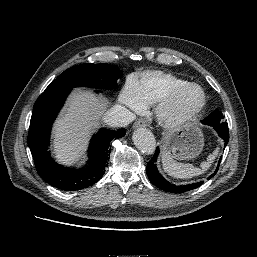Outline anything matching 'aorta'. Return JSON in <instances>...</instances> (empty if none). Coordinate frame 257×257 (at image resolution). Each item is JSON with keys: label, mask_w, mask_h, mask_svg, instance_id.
Here are the masks:
<instances>
[{"label": "aorta", "mask_w": 257, "mask_h": 257, "mask_svg": "<svg viewBox=\"0 0 257 257\" xmlns=\"http://www.w3.org/2000/svg\"><path fill=\"white\" fill-rule=\"evenodd\" d=\"M133 142L144 154H153L156 148V140L153 133L143 127L136 129L133 133Z\"/></svg>", "instance_id": "obj_1"}]
</instances>
